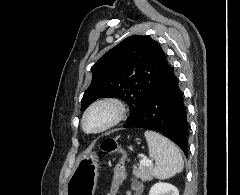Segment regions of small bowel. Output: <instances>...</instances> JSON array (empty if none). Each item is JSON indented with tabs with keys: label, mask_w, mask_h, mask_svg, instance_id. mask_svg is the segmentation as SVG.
Wrapping results in <instances>:
<instances>
[{
	"label": "small bowel",
	"mask_w": 240,
	"mask_h": 195,
	"mask_svg": "<svg viewBox=\"0 0 240 195\" xmlns=\"http://www.w3.org/2000/svg\"><path fill=\"white\" fill-rule=\"evenodd\" d=\"M144 185L138 179H132L130 188L125 192V195H143Z\"/></svg>",
	"instance_id": "1"
}]
</instances>
